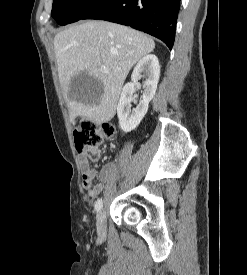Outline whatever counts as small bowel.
I'll return each mask as SVG.
<instances>
[{
  "mask_svg": "<svg viewBox=\"0 0 247 275\" xmlns=\"http://www.w3.org/2000/svg\"><path fill=\"white\" fill-rule=\"evenodd\" d=\"M80 166L83 187L88 192L89 196L94 198L102 193L104 189V183L110 181L112 178L113 173L117 167V161L109 162L102 167L99 172V179L101 182L97 184H93V180L97 174V171L89 164L86 153H82L80 155Z\"/></svg>",
  "mask_w": 247,
  "mask_h": 275,
  "instance_id": "c3829d8e",
  "label": "small bowel"
}]
</instances>
